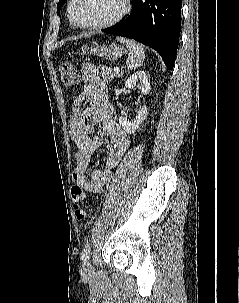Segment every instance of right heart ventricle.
Here are the masks:
<instances>
[{
    "instance_id": "right-heart-ventricle-1",
    "label": "right heart ventricle",
    "mask_w": 239,
    "mask_h": 303,
    "mask_svg": "<svg viewBox=\"0 0 239 303\" xmlns=\"http://www.w3.org/2000/svg\"><path fill=\"white\" fill-rule=\"evenodd\" d=\"M73 0H69L68 6H67V14H68V19L70 22V25L72 27H76L77 25L74 23L73 19H72V15H71V6H72Z\"/></svg>"
}]
</instances>
